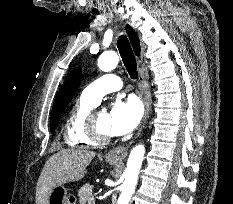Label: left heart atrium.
Returning <instances> with one entry per match:
<instances>
[{
  "mask_svg": "<svg viewBox=\"0 0 233 204\" xmlns=\"http://www.w3.org/2000/svg\"><path fill=\"white\" fill-rule=\"evenodd\" d=\"M142 114V106L137 98L118 99L109 113L111 135L120 136L134 130Z\"/></svg>",
  "mask_w": 233,
  "mask_h": 204,
  "instance_id": "39dd6f15",
  "label": "left heart atrium"
}]
</instances>
